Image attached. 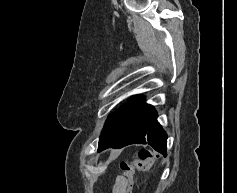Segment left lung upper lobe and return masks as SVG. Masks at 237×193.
Here are the masks:
<instances>
[{
    "label": "left lung upper lobe",
    "instance_id": "obj_1",
    "mask_svg": "<svg viewBox=\"0 0 237 193\" xmlns=\"http://www.w3.org/2000/svg\"><path fill=\"white\" fill-rule=\"evenodd\" d=\"M141 99L142 97L140 96L130 97L128 102L122 105L115 114L108 117L99 139L98 149L101 148L104 150L109 148L118 140Z\"/></svg>",
    "mask_w": 237,
    "mask_h": 193
}]
</instances>
